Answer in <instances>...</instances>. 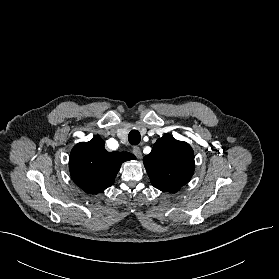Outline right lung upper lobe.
Segmentation results:
<instances>
[{
	"instance_id": "1",
	"label": "right lung upper lobe",
	"mask_w": 279,
	"mask_h": 279,
	"mask_svg": "<svg viewBox=\"0 0 279 279\" xmlns=\"http://www.w3.org/2000/svg\"><path fill=\"white\" fill-rule=\"evenodd\" d=\"M131 159L135 157L128 152L106 151L104 141L96 136L74 146L69 157L70 174L85 192L97 194L113 184L121 164Z\"/></svg>"
}]
</instances>
